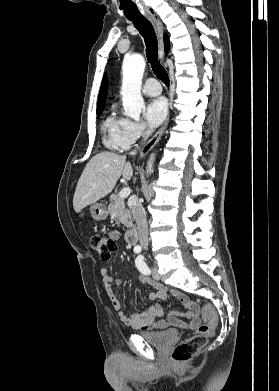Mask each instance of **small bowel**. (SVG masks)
I'll return each mask as SVG.
<instances>
[{"label": "small bowel", "instance_id": "c3829d8e", "mask_svg": "<svg viewBox=\"0 0 279 391\" xmlns=\"http://www.w3.org/2000/svg\"><path fill=\"white\" fill-rule=\"evenodd\" d=\"M109 237L113 240H117L119 238V234L113 231L109 233ZM100 275L113 308L116 310L120 321L127 327L136 330L166 329L172 327L194 329L201 322L199 307L196 303L191 301L185 294L177 290H168L165 286L152 280L148 276H142L141 282L150 285L157 290L156 294L151 295L152 298L158 297L164 299L167 297H173L184 306V310L172 311L168 314V317L165 320H160L158 322H155V319L164 316V310L159 304L151 306L142 312H134L132 315L128 316L122 311L121 304L114 292L115 284H121L123 279L119 278L114 281V278L111 274H109L106 268H102L100 270ZM179 316L184 318H180Z\"/></svg>", "mask_w": 279, "mask_h": 391}]
</instances>
